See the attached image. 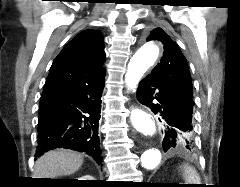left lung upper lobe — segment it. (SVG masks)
Here are the masks:
<instances>
[{"label": "left lung upper lobe", "instance_id": "5c2ea615", "mask_svg": "<svg viewBox=\"0 0 240 187\" xmlns=\"http://www.w3.org/2000/svg\"><path fill=\"white\" fill-rule=\"evenodd\" d=\"M161 41L164 45L160 63L149 74L159 84L182 96L193 98V87L188 63L178 45L161 28L150 32L147 41ZM193 138V132L186 133L183 139Z\"/></svg>", "mask_w": 240, "mask_h": 187}]
</instances>
